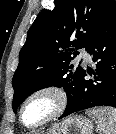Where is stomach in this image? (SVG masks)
Instances as JSON below:
<instances>
[{
  "label": "stomach",
  "instance_id": "obj_1",
  "mask_svg": "<svg viewBox=\"0 0 116 134\" xmlns=\"http://www.w3.org/2000/svg\"><path fill=\"white\" fill-rule=\"evenodd\" d=\"M92 122L83 116H70L52 125L42 134H92Z\"/></svg>",
  "mask_w": 116,
  "mask_h": 134
}]
</instances>
